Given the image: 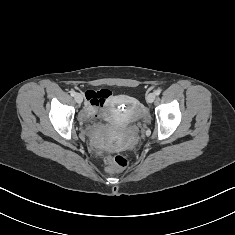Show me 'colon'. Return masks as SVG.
<instances>
[{
	"instance_id": "5ec220e1",
	"label": "colon",
	"mask_w": 235,
	"mask_h": 235,
	"mask_svg": "<svg viewBox=\"0 0 235 235\" xmlns=\"http://www.w3.org/2000/svg\"><path fill=\"white\" fill-rule=\"evenodd\" d=\"M104 160L106 163V170L109 172L121 171L129 163L127 157L122 154L106 155Z\"/></svg>"
}]
</instances>
